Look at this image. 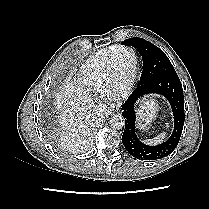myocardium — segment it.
I'll return each mask as SVG.
<instances>
[{"instance_id":"1","label":"myocardium","mask_w":209,"mask_h":209,"mask_svg":"<svg viewBox=\"0 0 209 209\" xmlns=\"http://www.w3.org/2000/svg\"><path fill=\"white\" fill-rule=\"evenodd\" d=\"M129 51L133 55V67L131 76L123 85H116L114 81L115 58L118 53ZM137 77V57L135 50L128 46H119L110 56L105 75V93L114 99L127 97L133 89Z\"/></svg>"}]
</instances>
